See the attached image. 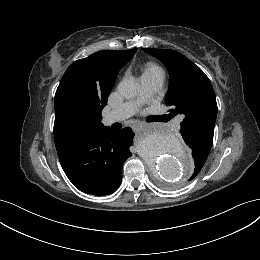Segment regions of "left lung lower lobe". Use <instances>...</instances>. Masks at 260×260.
<instances>
[{"mask_svg":"<svg viewBox=\"0 0 260 260\" xmlns=\"http://www.w3.org/2000/svg\"><path fill=\"white\" fill-rule=\"evenodd\" d=\"M182 134V137L186 144L192 149V154L194 159H198L200 157L207 158L210 148L206 144H204L202 141H200L198 138L195 136L191 135L188 132H180ZM199 172L197 170H194L193 175L189 179L192 180L194 179Z\"/></svg>","mask_w":260,"mask_h":260,"instance_id":"left-lung-lower-lobe-1","label":"left lung lower lobe"}]
</instances>
